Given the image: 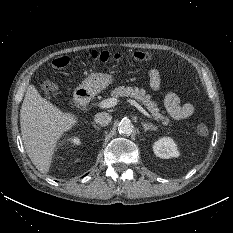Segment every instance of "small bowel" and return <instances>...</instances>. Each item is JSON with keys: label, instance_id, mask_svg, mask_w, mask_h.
Wrapping results in <instances>:
<instances>
[{"label": "small bowel", "instance_id": "small-bowel-1", "mask_svg": "<svg viewBox=\"0 0 233 233\" xmlns=\"http://www.w3.org/2000/svg\"><path fill=\"white\" fill-rule=\"evenodd\" d=\"M148 80L150 88L158 91L160 88V75L158 70L151 69L148 72ZM165 107L174 119H185L194 113V106L189 103H181L179 96L175 92H170L165 96Z\"/></svg>", "mask_w": 233, "mask_h": 233}]
</instances>
